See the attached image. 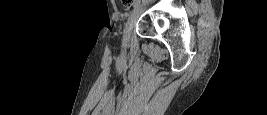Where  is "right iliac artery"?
<instances>
[{"mask_svg": "<svg viewBox=\"0 0 267 115\" xmlns=\"http://www.w3.org/2000/svg\"><path fill=\"white\" fill-rule=\"evenodd\" d=\"M139 4H140V2H139V1H136V2L134 3V8H137Z\"/></svg>", "mask_w": 267, "mask_h": 115, "instance_id": "1", "label": "right iliac artery"}]
</instances>
